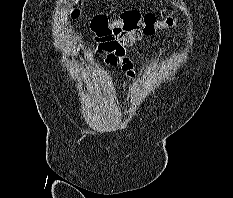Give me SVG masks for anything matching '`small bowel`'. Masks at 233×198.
I'll list each match as a JSON object with an SVG mask.
<instances>
[{
  "label": "small bowel",
  "mask_w": 233,
  "mask_h": 198,
  "mask_svg": "<svg viewBox=\"0 0 233 198\" xmlns=\"http://www.w3.org/2000/svg\"><path fill=\"white\" fill-rule=\"evenodd\" d=\"M139 32H115L112 36L97 41V53L102 56L105 65L119 67L128 78L135 74L134 63L126 55V48L142 38Z\"/></svg>",
  "instance_id": "1"
}]
</instances>
